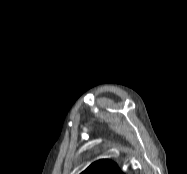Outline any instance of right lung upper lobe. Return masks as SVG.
<instances>
[{
	"label": "right lung upper lobe",
	"mask_w": 187,
	"mask_h": 174,
	"mask_svg": "<svg viewBox=\"0 0 187 174\" xmlns=\"http://www.w3.org/2000/svg\"><path fill=\"white\" fill-rule=\"evenodd\" d=\"M81 174H123L116 163L107 159H101L92 163Z\"/></svg>",
	"instance_id": "right-lung-upper-lobe-1"
}]
</instances>
